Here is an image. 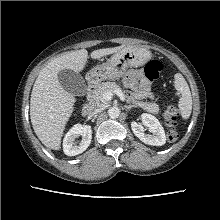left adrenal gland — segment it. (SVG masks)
I'll return each instance as SVG.
<instances>
[{
	"instance_id": "1",
	"label": "left adrenal gland",
	"mask_w": 220,
	"mask_h": 220,
	"mask_svg": "<svg viewBox=\"0 0 220 220\" xmlns=\"http://www.w3.org/2000/svg\"><path fill=\"white\" fill-rule=\"evenodd\" d=\"M132 107H133V106H125V108L127 109V111H130Z\"/></svg>"
}]
</instances>
